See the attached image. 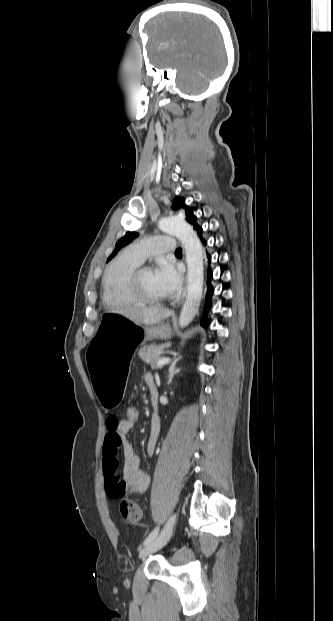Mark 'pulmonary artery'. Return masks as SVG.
Returning a JSON list of instances; mask_svg holds the SVG:
<instances>
[{"label": "pulmonary artery", "mask_w": 333, "mask_h": 621, "mask_svg": "<svg viewBox=\"0 0 333 621\" xmlns=\"http://www.w3.org/2000/svg\"><path fill=\"white\" fill-rule=\"evenodd\" d=\"M175 240L171 236L160 235L141 239L131 244L127 250L133 258L142 263L149 257L175 251Z\"/></svg>", "instance_id": "e3ab8cb5"}]
</instances>
